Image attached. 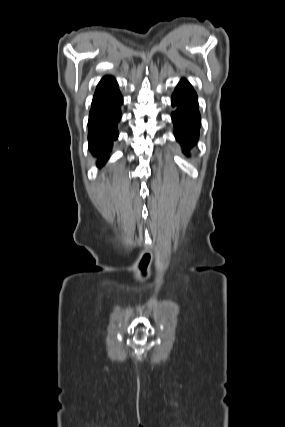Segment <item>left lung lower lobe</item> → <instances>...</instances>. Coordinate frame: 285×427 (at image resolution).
<instances>
[{
  "mask_svg": "<svg viewBox=\"0 0 285 427\" xmlns=\"http://www.w3.org/2000/svg\"><path fill=\"white\" fill-rule=\"evenodd\" d=\"M172 105L177 106V110L172 113L174 134L183 150L188 152L198 140L201 123L197 95L186 80L178 84L172 96Z\"/></svg>",
  "mask_w": 285,
  "mask_h": 427,
  "instance_id": "0a47b994",
  "label": "left lung lower lobe"
}]
</instances>
